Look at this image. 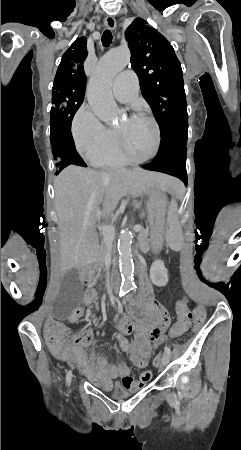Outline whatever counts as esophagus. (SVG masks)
Segmentation results:
<instances>
[{"mask_svg": "<svg viewBox=\"0 0 241 450\" xmlns=\"http://www.w3.org/2000/svg\"><path fill=\"white\" fill-rule=\"evenodd\" d=\"M104 24L106 25L107 28L111 30L116 28V21L113 16H107L104 20Z\"/></svg>", "mask_w": 241, "mask_h": 450, "instance_id": "1", "label": "esophagus"}]
</instances>
